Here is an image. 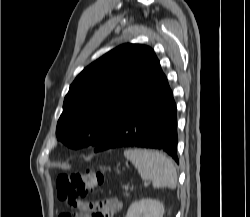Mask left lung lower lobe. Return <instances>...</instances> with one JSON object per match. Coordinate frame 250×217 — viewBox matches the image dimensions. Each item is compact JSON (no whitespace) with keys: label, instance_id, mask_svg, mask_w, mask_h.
Returning a JSON list of instances; mask_svg holds the SVG:
<instances>
[{"label":"left lung lower lobe","instance_id":"obj_1","mask_svg":"<svg viewBox=\"0 0 250 217\" xmlns=\"http://www.w3.org/2000/svg\"><path fill=\"white\" fill-rule=\"evenodd\" d=\"M177 141L176 105L157 59L94 151L152 148L167 152L178 163Z\"/></svg>","mask_w":250,"mask_h":217}]
</instances>
